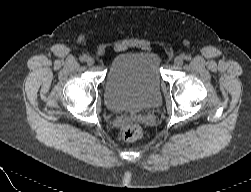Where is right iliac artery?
Instances as JSON below:
<instances>
[{
    "instance_id": "82829eb1",
    "label": "right iliac artery",
    "mask_w": 251,
    "mask_h": 192,
    "mask_svg": "<svg viewBox=\"0 0 251 192\" xmlns=\"http://www.w3.org/2000/svg\"><path fill=\"white\" fill-rule=\"evenodd\" d=\"M79 59L81 62H84L87 59V55H82Z\"/></svg>"
}]
</instances>
